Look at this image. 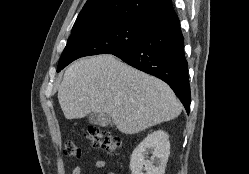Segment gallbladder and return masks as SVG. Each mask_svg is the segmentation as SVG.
Listing matches in <instances>:
<instances>
[{
	"label": "gallbladder",
	"mask_w": 249,
	"mask_h": 174,
	"mask_svg": "<svg viewBox=\"0 0 249 174\" xmlns=\"http://www.w3.org/2000/svg\"><path fill=\"white\" fill-rule=\"evenodd\" d=\"M89 122L91 124L99 125V126H108L113 125L111 118L107 114L103 113H91L89 115Z\"/></svg>",
	"instance_id": "1"
}]
</instances>
